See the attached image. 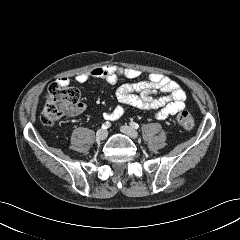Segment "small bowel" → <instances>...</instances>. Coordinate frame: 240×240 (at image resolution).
Returning a JSON list of instances; mask_svg holds the SVG:
<instances>
[{
    "label": "small bowel",
    "mask_w": 240,
    "mask_h": 240,
    "mask_svg": "<svg viewBox=\"0 0 240 240\" xmlns=\"http://www.w3.org/2000/svg\"><path fill=\"white\" fill-rule=\"evenodd\" d=\"M139 75L140 72L136 69L104 65L77 75L75 80L79 84H84L89 79L96 78L117 86L115 94L120 105L114 110L104 113V117L111 121L122 117L126 106L156 110L155 117L158 120H165L185 107L186 94L184 90L168 76L153 73L145 81L120 83L121 78L135 79ZM57 83L68 85L70 80L67 77H61Z\"/></svg>",
    "instance_id": "c3829d8e"
}]
</instances>
